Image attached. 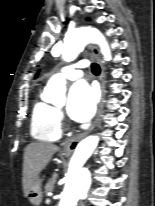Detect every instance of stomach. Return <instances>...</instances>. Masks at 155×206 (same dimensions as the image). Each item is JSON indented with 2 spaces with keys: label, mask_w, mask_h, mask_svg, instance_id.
I'll list each match as a JSON object with an SVG mask.
<instances>
[{
  "label": "stomach",
  "mask_w": 155,
  "mask_h": 206,
  "mask_svg": "<svg viewBox=\"0 0 155 206\" xmlns=\"http://www.w3.org/2000/svg\"><path fill=\"white\" fill-rule=\"evenodd\" d=\"M63 155L67 156L68 153H63ZM28 199L29 201L35 205L39 206L42 202V187H41V181L39 178L35 179L33 184L30 187L29 193H28Z\"/></svg>",
  "instance_id": "1"
}]
</instances>
